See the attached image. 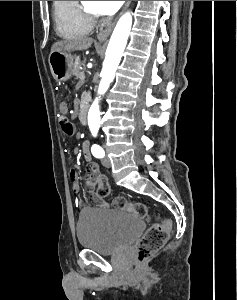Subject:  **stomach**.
Listing matches in <instances>:
<instances>
[{"label": "stomach", "mask_w": 237, "mask_h": 300, "mask_svg": "<svg viewBox=\"0 0 237 300\" xmlns=\"http://www.w3.org/2000/svg\"><path fill=\"white\" fill-rule=\"evenodd\" d=\"M73 55L65 51H54L49 55L51 73L56 81H68L72 75Z\"/></svg>", "instance_id": "stomach-1"}]
</instances>
